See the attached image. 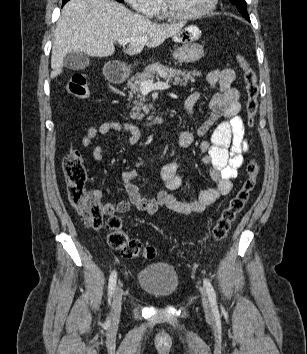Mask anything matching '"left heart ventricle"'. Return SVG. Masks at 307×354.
<instances>
[{
  "label": "left heart ventricle",
  "instance_id": "left-heart-ventricle-1",
  "mask_svg": "<svg viewBox=\"0 0 307 354\" xmlns=\"http://www.w3.org/2000/svg\"><path fill=\"white\" fill-rule=\"evenodd\" d=\"M169 2L176 11L192 14L205 9L210 0H169Z\"/></svg>",
  "mask_w": 307,
  "mask_h": 354
}]
</instances>
